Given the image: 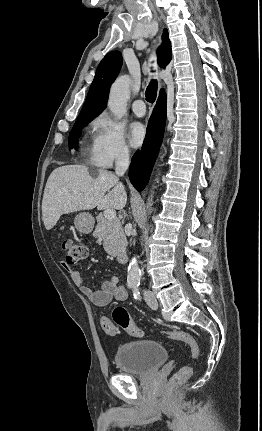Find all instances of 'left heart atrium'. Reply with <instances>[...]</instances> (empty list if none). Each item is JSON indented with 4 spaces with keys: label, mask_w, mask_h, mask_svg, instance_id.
I'll return each mask as SVG.
<instances>
[{
    "label": "left heart atrium",
    "mask_w": 262,
    "mask_h": 431,
    "mask_svg": "<svg viewBox=\"0 0 262 431\" xmlns=\"http://www.w3.org/2000/svg\"><path fill=\"white\" fill-rule=\"evenodd\" d=\"M145 128L144 126L139 122H134L129 126L128 130V138L130 141V144L133 147H139L142 145L145 139Z\"/></svg>",
    "instance_id": "39dd6f15"
}]
</instances>
